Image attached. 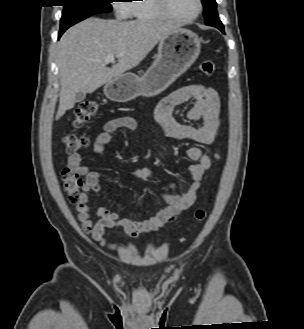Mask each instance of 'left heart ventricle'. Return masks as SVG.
Segmentation results:
<instances>
[{"label": "left heart ventricle", "mask_w": 304, "mask_h": 329, "mask_svg": "<svg viewBox=\"0 0 304 329\" xmlns=\"http://www.w3.org/2000/svg\"><path fill=\"white\" fill-rule=\"evenodd\" d=\"M171 10L184 17L194 15L198 10L197 0H169Z\"/></svg>", "instance_id": "obj_1"}]
</instances>
